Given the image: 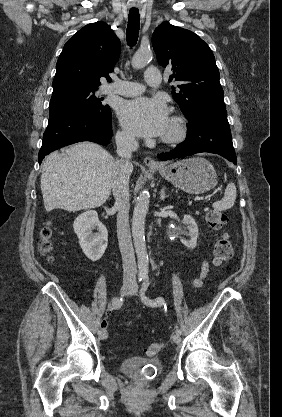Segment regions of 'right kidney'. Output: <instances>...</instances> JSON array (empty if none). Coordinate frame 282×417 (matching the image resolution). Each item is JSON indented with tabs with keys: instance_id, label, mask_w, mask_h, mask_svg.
I'll list each match as a JSON object with an SVG mask.
<instances>
[{
	"instance_id": "obj_1",
	"label": "right kidney",
	"mask_w": 282,
	"mask_h": 417,
	"mask_svg": "<svg viewBox=\"0 0 282 417\" xmlns=\"http://www.w3.org/2000/svg\"><path fill=\"white\" fill-rule=\"evenodd\" d=\"M96 227L99 233H93V229ZM73 229L87 259L99 261L108 245V231L105 225L100 223L96 211H86V213L78 215L73 223Z\"/></svg>"
}]
</instances>
